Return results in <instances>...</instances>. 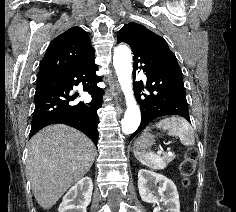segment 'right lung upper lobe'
<instances>
[{"label": "right lung upper lobe", "mask_w": 236, "mask_h": 212, "mask_svg": "<svg viewBox=\"0 0 236 212\" xmlns=\"http://www.w3.org/2000/svg\"><path fill=\"white\" fill-rule=\"evenodd\" d=\"M95 54L90 38L81 27H72L57 36L40 62L39 75L67 72Z\"/></svg>", "instance_id": "obj_1"}]
</instances>
